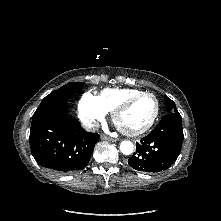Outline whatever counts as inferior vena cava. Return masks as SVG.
<instances>
[{
  "label": "inferior vena cava",
  "mask_w": 221,
  "mask_h": 221,
  "mask_svg": "<svg viewBox=\"0 0 221 221\" xmlns=\"http://www.w3.org/2000/svg\"><path fill=\"white\" fill-rule=\"evenodd\" d=\"M99 123L98 122H94V123H89V124H86L85 125V129L87 131H95V130H98L99 128Z\"/></svg>",
  "instance_id": "602c4592"
}]
</instances>
